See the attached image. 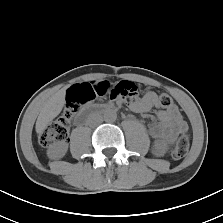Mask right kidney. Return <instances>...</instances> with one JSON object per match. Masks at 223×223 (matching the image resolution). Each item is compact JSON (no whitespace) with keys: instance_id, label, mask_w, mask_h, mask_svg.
I'll return each mask as SVG.
<instances>
[{"instance_id":"right-kidney-1","label":"right kidney","mask_w":223,"mask_h":223,"mask_svg":"<svg viewBox=\"0 0 223 223\" xmlns=\"http://www.w3.org/2000/svg\"><path fill=\"white\" fill-rule=\"evenodd\" d=\"M68 149V145L64 141L54 143L47 151L50 158L56 159L63 157Z\"/></svg>"}]
</instances>
